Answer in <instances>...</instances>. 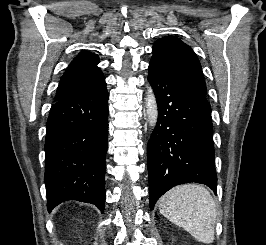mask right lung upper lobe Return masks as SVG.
I'll list each match as a JSON object with an SVG mask.
<instances>
[{"instance_id": "cb5924a9", "label": "right lung upper lobe", "mask_w": 266, "mask_h": 245, "mask_svg": "<svg viewBox=\"0 0 266 245\" xmlns=\"http://www.w3.org/2000/svg\"><path fill=\"white\" fill-rule=\"evenodd\" d=\"M98 63V55L88 51H83L76 56L60 80L55 100H61L84 85L102 82L104 76L96 66Z\"/></svg>"}]
</instances>
